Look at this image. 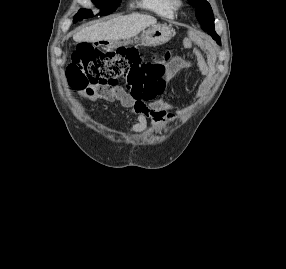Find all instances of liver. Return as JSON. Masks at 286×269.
I'll return each mask as SVG.
<instances>
[{
  "mask_svg": "<svg viewBox=\"0 0 286 269\" xmlns=\"http://www.w3.org/2000/svg\"><path fill=\"white\" fill-rule=\"evenodd\" d=\"M156 24L153 16L133 13L84 27L73 35V39L76 42L117 41L133 37Z\"/></svg>",
  "mask_w": 286,
  "mask_h": 269,
  "instance_id": "obj_1",
  "label": "liver"
}]
</instances>
